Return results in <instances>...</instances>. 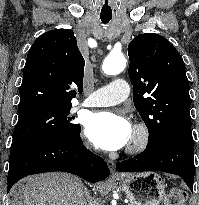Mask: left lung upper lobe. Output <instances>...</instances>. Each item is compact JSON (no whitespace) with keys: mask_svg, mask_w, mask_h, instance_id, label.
I'll list each match as a JSON object with an SVG mask.
<instances>
[{"mask_svg":"<svg viewBox=\"0 0 199 205\" xmlns=\"http://www.w3.org/2000/svg\"><path fill=\"white\" fill-rule=\"evenodd\" d=\"M128 55L133 102L149 130V142L191 132L189 81L175 47L161 35L145 33L129 43Z\"/></svg>","mask_w":199,"mask_h":205,"instance_id":"5c2ea615","label":"left lung upper lobe"}]
</instances>
